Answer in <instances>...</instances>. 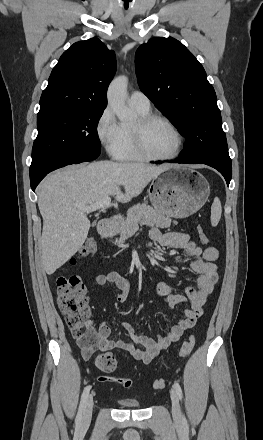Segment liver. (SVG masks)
<instances>
[{
  "label": "liver",
  "mask_w": 263,
  "mask_h": 440,
  "mask_svg": "<svg viewBox=\"0 0 263 440\" xmlns=\"http://www.w3.org/2000/svg\"><path fill=\"white\" fill-rule=\"evenodd\" d=\"M171 167L98 161L47 176L37 189L43 218L40 252L46 273L53 274L83 246L91 226L86 207L110 196L127 203Z\"/></svg>",
  "instance_id": "1"
}]
</instances>
